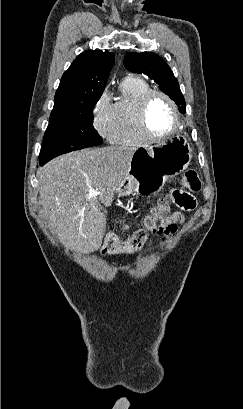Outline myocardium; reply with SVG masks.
Here are the masks:
<instances>
[{
	"mask_svg": "<svg viewBox=\"0 0 243 409\" xmlns=\"http://www.w3.org/2000/svg\"><path fill=\"white\" fill-rule=\"evenodd\" d=\"M156 96L162 97L169 103V105L171 106L173 110L174 117H175L174 128L172 129V131L164 135H156L152 133L148 126V121H147L148 107H149L151 100ZM136 115H137L138 127L141 133L143 134V136L148 141L155 142V141H161V140L168 139L174 136L179 131V128L181 126V115H180V111L178 109L176 102L168 94H166L165 92L159 91V90H150L142 96L137 106Z\"/></svg>",
	"mask_w": 243,
	"mask_h": 409,
	"instance_id": "myocardium-1",
	"label": "myocardium"
}]
</instances>
